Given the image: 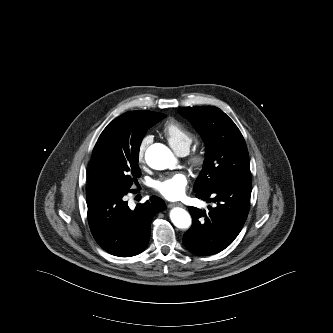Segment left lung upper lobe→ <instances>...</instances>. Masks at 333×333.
I'll return each instance as SVG.
<instances>
[{"label":"left lung upper lobe","instance_id":"left-lung-upper-lobe-1","mask_svg":"<svg viewBox=\"0 0 333 333\" xmlns=\"http://www.w3.org/2000/svg\"><path fill=\"white\" fill-rule=\"evenodd\" d=\"M178 111L191 121L206 144V159L194 184L195 193L209 191L229 180L251 177L243 136L223 111L211 106Z\"/></svg>","mask_w":333,"mask_h":333}]
</instances>
